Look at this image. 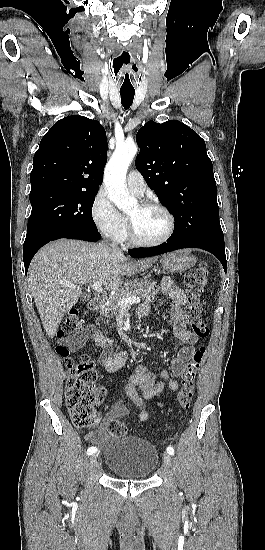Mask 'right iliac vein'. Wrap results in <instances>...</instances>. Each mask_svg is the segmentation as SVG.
Wrapping results in <instances>:
<instances>
[{
  "mask_svg": "<svg viewBox=\"0 0 265 550\" xmlns=\"http://www.w3.org/2000/svg\"><path fill=\"white\" fill-rule=\"evenodd\" d=\"M97 466V457L96 455H92L90 457V467L95 468Z\"/></svg>",
  "mask_w": 265,
  "mask_h": 550,
  "instance_id": "1",
  "label": "right iliac vein"
}]
</instances>
